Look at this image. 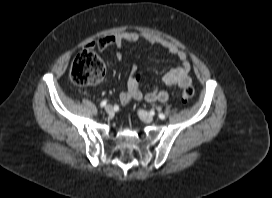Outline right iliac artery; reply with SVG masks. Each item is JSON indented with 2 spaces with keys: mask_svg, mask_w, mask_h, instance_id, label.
Instances as JSON below:
<instances>
[{
  "mask_svg": "<svg viewBox=\"0 0 272 198\" xmlns=\"http://www.w3.org/2000/svg\"><path fill=\"white\" fill-rule=\"evenodd\" d=\"M107 101L106 100H103L101 103H100V106L101 107H104L106 105Z\"/></svg>",
  "mask_w": 272,
  "mask_h": 198,
  "instance_id": "1",
  "label": "right iliac artery"
}]
</instances>
